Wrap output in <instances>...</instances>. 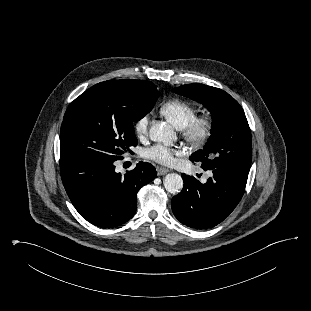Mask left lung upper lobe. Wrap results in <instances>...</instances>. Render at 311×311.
<instances>
[{
  "label": "left lung upper lobe",
  "instance_id": "left-lung-upper-lobe-1",
  "mask_svg": "<svg viewBox=\"0 0 311 311\" xmlns=\"http://www.w3.org/2000/svg\"><path fill=\"white\" fill-rule=\"evenodd\" d=\"M175 93L206 106L212 114L211 136L202 150L190 156L202 168H235L249 171L252 160L251 131L242 107L225 91L203 85L177 87Z\"/></svg>",
  "mask_w": 311,
  "mask_h": 311
}]
</instances>
